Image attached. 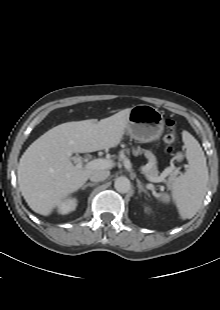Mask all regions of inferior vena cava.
Segmentation results:
<instances>
[{
	"label": "inferior vena cava",
	"instance_id": "obj_1",
	"mask_svg": "<svg viewBox=\"0 0 220 310\" xmlns=\"http://www.w3.org/2000/svg\"><path fill=\"white\" fill-rule=\"evenodd\" d=\"M110 175V172L108 170H96L92 172L89 179L93 182H100L107 179V177Z\"/></svg>",
	"mask_w": 220,
	"mask_h": 310
}]
</instances>
